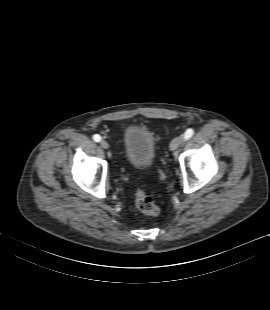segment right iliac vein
Instances as JSON below:
<instances>
[{"instance_id": "right-iliac-vein-1", "label": "right iliac vein", "mask_w": 270, "mask_h": 310, "mask_svg": "<svg viewBox=\"0 0 270 310\" xmlns=\"http://www.w3.org/2000/svg\"><path fill=\"white\" fill-rule=\"evenodd\" d=\"M100 146H101L103 149H108V148H109V144H108V142L105 141V140H102V141L100 142Z\"/></svg>"}]
</instances>
